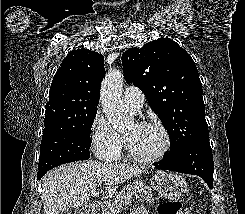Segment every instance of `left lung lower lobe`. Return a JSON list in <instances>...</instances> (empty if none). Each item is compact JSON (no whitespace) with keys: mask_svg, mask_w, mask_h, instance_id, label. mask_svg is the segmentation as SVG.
Returning a JSON list of instances; mask_svg holds the SVG:
<instances>
[{"mask_svg":"<svg viewBox=\"0 0 245 214\" xmlns=\"http://www.w3.org/2000/svg\"><path fill=\"white\" fill-rule=\"evenodd\" d=\"M158 170H171L201 177L213 188L214 162L209 140L196 141L155 163Z\"/></svg>","mask_w":245,"mask_h":214,"instance_id":"1","label":"left lung lower lobe"}]
</instances>
